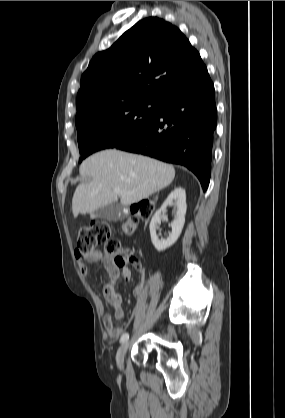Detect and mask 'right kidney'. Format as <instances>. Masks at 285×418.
<instances>
[{"mask_svg": "<svg viewBox=\"0 0 285 418\" xmlns=\"http://www.w3.org/2000/svg\"><path fill=\"white\" fill-rule=\"evenodd\" d=\"M174 204L177 207L175 219L171 223L172 232L167 239H159L156 233V224L161 221V213L166 211V208ZM186 193L181 187L175 188L162 204L161 208L156 211L150 222V235L154 247L160 252L172 246L179 238L184 223L186 214Z\"/></svg>", "mask_w": 285, "mask_h": 418, "instance_id": "ca27d5eb", "label": "right kidney"}]
</instances>
